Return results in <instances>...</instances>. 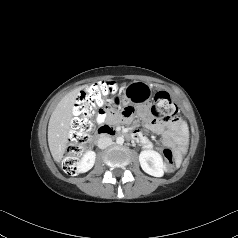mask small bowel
Instances as JSON below:
<instances>
[{
	"instance_id": "1",
	"label": "small bowel",
	"mask_w": 238,
	"mask_h": 238,
	"mask_svg": "<svg viewBox=\"0 0 238 238\" xmlns=\"http://www.w3.org/2000/svg\"><path fill=\"white\" fill-rule=\"evenodd\" d=\"M152 111L153 108L149 104L144 105L140 109V115L144 118L146 127L157 134H162V144L165 149L173 148L178 152L183 151L188 142L187 131L184 124L178 119L173 120L167 124L160 122L158 116H149ZM109 115L110 112L101 111L97 116V122L100 124L105 122ZM134 133L137 135L136 141L140 142L145 149H151L153 147V144L149 138H147L140 132Z\"/></svg>"
}]
</instances>
